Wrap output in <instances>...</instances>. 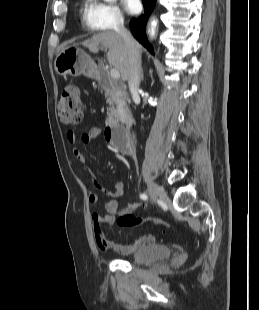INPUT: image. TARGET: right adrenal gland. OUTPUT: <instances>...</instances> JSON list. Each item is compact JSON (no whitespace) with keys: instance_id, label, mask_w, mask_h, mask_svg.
<instances>
[{"instance_id":"1","label":"right adrenal gland","mask_w":259,"mask_h":310,"mask_svg":"<svg viewBox=\"0 0 259 310\" xmlns=\"http://www.w3.org/2000/svg\"><path fill=\"white\" fill-rule=\"evenodd\" d=\"M140 76H141V81H143V79H144V76H143V69H141V74H140Z\"/></svg>"}]
</instances>
